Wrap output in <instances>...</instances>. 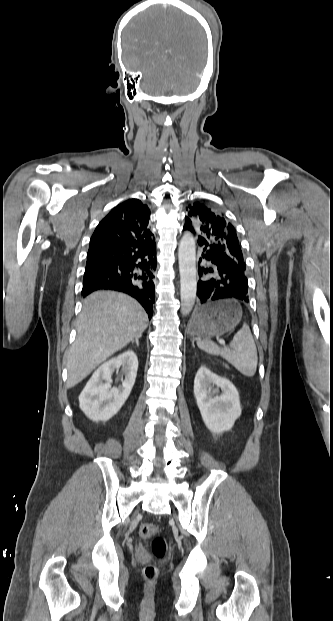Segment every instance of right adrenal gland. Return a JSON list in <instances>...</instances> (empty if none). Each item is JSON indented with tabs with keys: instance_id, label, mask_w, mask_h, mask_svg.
Wrapping results in <instances>:
<instances>
[{
	"instance_id": "right-adrenal-gland-1",
	"label": "right adrenal gland",
	"mask_w": 333,
	"mask_h": 621,
	"mask_svg": "<svg viewBox=\"0 0 333 621\" xmlns=\"http://www.w3.org/2000/svg\"><path fill=\"white\" fill-rule=\"evenodd\" d=\"M132 343H136L137 347L139 346V337H136L135 340L131 341Z\"/></svg>"
}]
</instances>
